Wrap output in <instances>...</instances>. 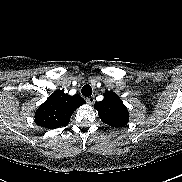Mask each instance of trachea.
Listing matches in <instances>:
<instances>
[{"instance_id": "3493384b", "label": "trachea", "mask_w": 182, "mask_h": 182, "mask_svg": "<svg viewBox=\"0 0 182 182\" xmlns=\"http://www.w3.org/2000/svg\"><path fill=\"white\" fill-rule=\"evenodd\" d=\"M81 93L85 97H90L92 95V88L89 84H86L82 87Z\"/></svg>"}]
</instances>
